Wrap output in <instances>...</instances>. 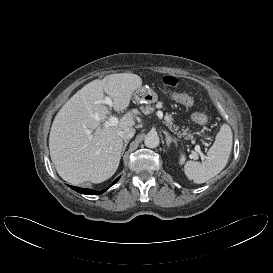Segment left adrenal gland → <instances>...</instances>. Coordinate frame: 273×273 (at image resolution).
<instances>
[{"label": "left adrenal gland", "mask_w": 273, "mask_h": 273, "mask_svg": "<svg viewBox=\"0 0 273 273\" xmlns=\"http://www.w3.org/2000/svg\"><path fill=\"white\" fill-rule=\"evenodd\" d=\"M164 134L166 136V144L168 147H170L171 142H173L175 144V146H177V141L176 139L172 138L168 132L164 131Z\"/></svg>", "instance_id": "obj_1"}]
</instances>
